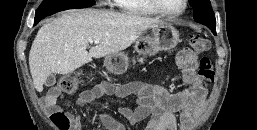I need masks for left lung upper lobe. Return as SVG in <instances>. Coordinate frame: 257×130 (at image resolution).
Returning a JSON list of instances; mask_svg holds the SVG:
<instances>
[{
	"instance_id": "left-lung-upper-lobe-1",
	"label": "left lung upper lobe",
	"mask_w": 257,
	"mask_h": 130,
	"mask_svg": "<svg viewBox=\"0 0 257 130\" xmlns=\"http://www.w3.org/2000/svg\"><path fill=\"white\" fill-rule=\"evenodd\" d=\"M194 9V19L197 22L206 24L212 31L215 30V14L209 0H190Z\"/></svg>"
}]
</instances>
